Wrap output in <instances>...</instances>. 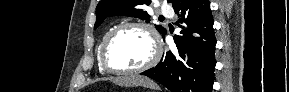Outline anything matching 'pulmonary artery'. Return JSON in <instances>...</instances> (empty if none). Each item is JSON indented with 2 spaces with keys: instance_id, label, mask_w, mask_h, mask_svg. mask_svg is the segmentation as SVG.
Here are the masks:
<instances>
[{
  "instance_id": "e3ab8cb5",
  "label": "pulmonary artery",
  "mask_w": 289,
  "mask_h": 92,
  "mask_svg": "<svg viewBox=\"0 0 289 92\" xmlns=\"http://www.w3.org/2000/svg\"><path fill=\"white\" fill-rule=\"evenodd\" d=\"M161 10H162V13L167 16H171L173 14V10L168 6H163Z\"/></svg>"
}]
</instances>
